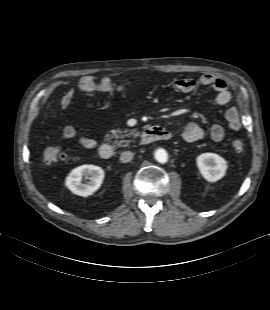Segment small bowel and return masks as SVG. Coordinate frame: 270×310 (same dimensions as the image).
Wrapping results in <instances>:
<instances>
[{
  "instance_id": "small-bowel-1",
  "label": "small bowel",
  "mask_w": 270,
  "mask_h": 310,
  "mask_svg": "<svg viewBox=\"0 0 270 310\" xmlns=\"http://www.w3.org/2000/svg\"><path fill=\"white\" fill-rule=\"evenodd\" d=\"M98 81L99 79L96 76H83L79 79L77 83V88L82 90L85 85L93 84L96 85V90H106L100 87L101 83H99ZM198 84L202 86H211L217 92V95L215 97V103L217 105L225 106L232 101L233 96L228 88L227 83L222 78L217 77L213 74L206 73L202 75L198 81L192 78H179L173 81L174 89L182 93L193 92ZM125 90L126 84H119L115 88V91L118 94H123ZM74 95L75 88L68 89L60 99L61 108L66 109L70 105ZM225 118L229 129H231L232 131H238L241 129L242 121L236 107H229L225 111ZM62 135L66 139H72L77 141L78 144L84 148L90 149L96 146L95 140L81 134L73 126H66L62 131ZM181 135L184 141L192 143L203 139L205 136V131L197 122L191 121L186 125ZM209 136L213 141L216 142L223 140L225 136L224 127L220 124H213L209 129Z\"/></svg>"
}]
</instances>
